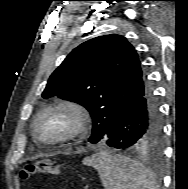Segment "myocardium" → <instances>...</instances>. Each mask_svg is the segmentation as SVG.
<instances>
[{
	"instance_id": "obj_1",
	"label": "myocardium",
	"mask_w": 188,
	"mask_h": 189,
	"mask_svg": "<svg viewBox=\"0 0 188 189\" xmlns=\"http://www.w3.org/2000/svg\"><path fill=\"white\" fill-rule=\"evenodd\" d=\"M53 112L67 113L71 125L66 132L58 137L50 139L42 138L38 135V124L45 115ZM89 122V114L81 103L72 99H57L39 110L32 123V135L37 142L44 145L63 143L82 136L88 130Z\"/></svg>"
}]
</instances>
